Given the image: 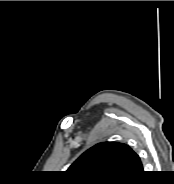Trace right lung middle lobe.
Listing matches in <instances>:
<instances>
[{
  "mask_svg": "<svg viewBox=\"0 0 174 184\" xmlns=\"http://www.w3.org/2000/svg\"><path fill=\"white\" fill-rule=\"evenodd\" d=\"M88 183H102V184H108V183H105V182H88Z\"/></svg>",
  "mask_w": 174,
  "mask_h": 184,
  "instance_id": "dd1d6c3e",
  "label": "right lung middle lobe"
}]
</instances>
